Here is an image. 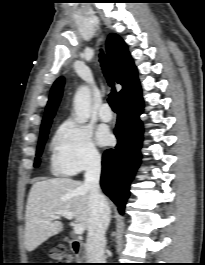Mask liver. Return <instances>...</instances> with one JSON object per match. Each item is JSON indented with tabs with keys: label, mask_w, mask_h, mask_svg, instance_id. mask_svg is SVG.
<instances>
[{
	"label": "liver",
	"mask_w": 205,
	"mask_h": 265,
	"mask_svg": "<svg viewBox=\"0 0 205 265\" xmlns=\"http://www.w3.org/2000/svg\"><path fill=\"white\" fill-rule=\"evenodd\" d=\"M69 211L76 222L88 229L91 210L89 189L70 178H53L35 182L29 192L25 214V248L31 252L50 237L60 233L63 225L52 214Z\"/></svg>",
	"instance_id": "6515ba94"
}]
</instances>
